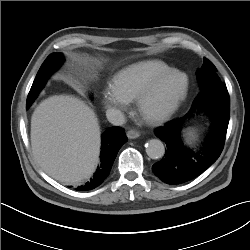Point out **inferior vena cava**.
Returning <instances> with one entry per match:
<instances>
[{"instance_id": "obj_1", "label": "inferior vena cava", "mask_w": 250, "mask_h": 250, "mask_svg": "<svg viewBox=\"0 0 250 250\" xmlns=\"http://www.w3.org/2000/svg\"><path fill=\"white\" fill-rule=\"evenodd\" d=\"M106 117L108 121L115 126H121L125 123L124 114L115 108L107 109Z\"/></svg>"}]
</instances>
